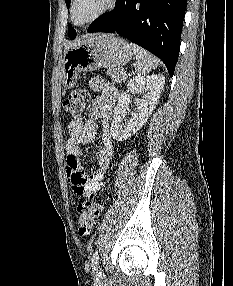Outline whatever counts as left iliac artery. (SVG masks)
<instances>
[{"instance_id": "left-iliac-artery-1", "label": "left iliac artery", "mask_w": 233, "mask_h": 286, "mask_svg": "<svg viewBox=\"0 0 233 286\" xmlns=\"http://www.w3.org/2000/svg\"><path fill=\"white\" fill-rule=\"evenodd\" d=\"M98 264V251L96 250L92 255L91 266L92 270L95 271Z\"/></svg>"}]
</instances>
